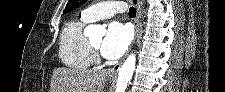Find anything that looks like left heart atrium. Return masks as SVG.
I'll list each match as a JSON object with an SVG mask.
<instances>
[{"mask_svg":"<svg viewBox=\"0 0 225 92\" xmlns=\"http://www.w3.org/2000/svg\"><path fill=\"white\" fill-rule=\"evenodd\" d=\"M131 38L132 30L128 24L111 22L100 46L101 54L109 60L119 58L127 49Z\"/></svg>","mask_w":225,"mask_h":92,"instance_id":"obj_1","label":"left heart atrium"}]
</instances>
